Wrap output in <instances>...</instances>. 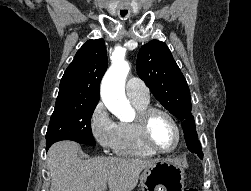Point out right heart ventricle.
I'll return each instance as SVG.
<instances>
[{
  "instance_id": "e07e8e85",
  "label": "right heart ventricle",
  "mask_w": 251,
  "mask_h": 191,
  "mask_svg": "<svg viewBox=\"0 0 251 191\" xmlns=\"http://www.w3.org/2000/svg\"><path fill=\"white\" fill-rule=\"evenodd\" d=\"M131 101L138 110L150 107L149 99ZM116 151L121 155L140 158H150L155 156V154L144 144L136 121L119 123V141Z\"/></svg>"
}]
</instances>
